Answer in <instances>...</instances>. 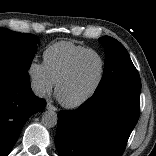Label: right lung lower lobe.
<instances>
[{
    "label": "right lung lower lobe",
    "instance_id": "obj_1",
    "mask_svg": "<svg viewBox=\"0 0 156 156\" xmlns=\"http://www.w3.org/2000/svg\"><path fill=\"white\" fill-rule=\"evenodd\" d=\"M46 105L33 94L28 74L0 69V156H7L34 113Z\"/></svg>",
    "mask_w": 156,
    "mask_h": 156
}]
</instances>
